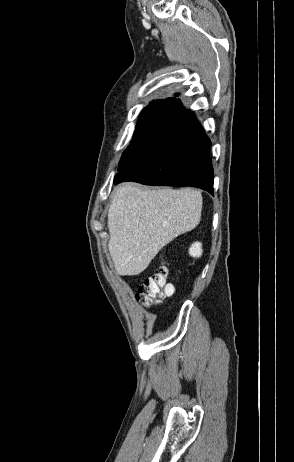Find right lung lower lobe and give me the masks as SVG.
I'll return each mask as SVG.
<instances>
[{"label": "right lung lower lobe", "instance_id": "right-lung-lower-lobe-1", "mask_svg": "<svg viewBox=\"0 0 294 462\" xmlns=\"http://www.w3.org/2000/svg\"><path fill=\"white\" fill-rule=\"evenodd\" d=\"M211 142L190 110L157 140L141 150L114 178V183L194 186L213 194Z\"/></svg>", "mask_w": 294, "mask_h": 462}]
</instances>
